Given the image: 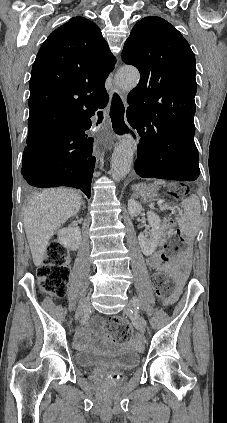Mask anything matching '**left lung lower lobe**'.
I'll list each match as a JSON object with an SVG mask.
<instances>
[{
	"mask_svg": "<svg viewBox=\"0 0 227 423\" xmlns=\"http://www.w3.org/2000/svg\"><path fill=\"white\" fill-rule=\"evenodd\" d=\"M194 114L127 108L140 142L135 171L141 177L194 181L200 174L194 143Z\"/></svg>",
	"mask_w": 227,
	"mask_h": 423,
	"instance_id": "left-lung-lower-lobe-1",
	"label": "left lung lower lobe"
}]
</instances>
